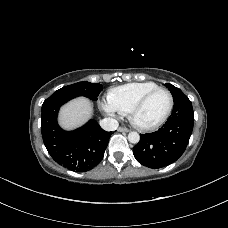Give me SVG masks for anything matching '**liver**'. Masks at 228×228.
<instances>
[{
    "instance_id": "liver-1",
    "label": "liver",
    "mask_w": 228,
    "mask_h": 228,
    "mask_svg": "<svg viewBox=\"0 0 228 228\" xmlns=\"http://www.w3.org/2000/svg\"><path fill=\"white\" fill-rule=\"evenodd\" d=\"M91 115V102L84 97H79L61 108L59 123L64 129L72 130L86 123Z\"/></svg>"
}]
</instances>
